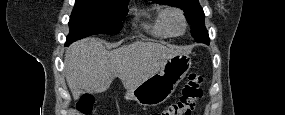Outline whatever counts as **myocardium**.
<instances>
[{"instance_id":"f54148a6","label":"myocardium","mask_w":285,"mask_h":115,"mask_svg":"<svg viewBox=\"0 0 285 115\" xmlns=\"http://www.w3.org/2000/svg\"><path fill=\"white\" fill-rule=\"evenodd\" d=\"M171 14H177L180 17L182 21V30L180 32H175L172 30L170 23H169V16ZM162 21H163L165 28L172 36H180L184 34L187 29V19H186L185 13L177 7H168L164 9L162 12Z\"/></svg>"}]
</instances>
